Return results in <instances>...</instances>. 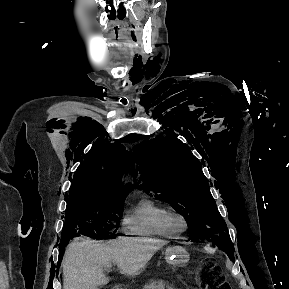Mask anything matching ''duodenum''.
Masks as SVG:
<instances>
[{
	"instance_id": "1",
	"label": "duodenum",
	"mask_w": 289,
	"mask_h": 289,
	"mask_svg": "<svg viewBox=\"0 0 289 289\" xmlns=\"http://www.w3.org/2000/svg\"><path fill=\"white\" fill-rule=\"evenodd\" d=\"M113 289H122L121 287H119V286H116V287H114Z\"/></svg>"
}]
</instances>
